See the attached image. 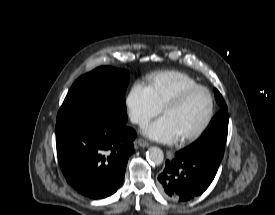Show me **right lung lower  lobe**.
<instances>
[{"label": "right lung lower lobe", "mask_w": 275, "mask_h": 215, "mask_svg": "<svg viewBox=\"0 0 275 215\" xmlns=\"http://www.w3.org/2000/svg\"><path fill=\"white\" fill-rule=\"evenodd\" d=\"M127 122V121H126ZM111 116L56 125L57 155L67 182L92 199L114 194L124 180L136 132Z\"/></svg>", "instance_id": "1"}]
</instances>
